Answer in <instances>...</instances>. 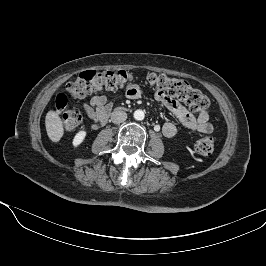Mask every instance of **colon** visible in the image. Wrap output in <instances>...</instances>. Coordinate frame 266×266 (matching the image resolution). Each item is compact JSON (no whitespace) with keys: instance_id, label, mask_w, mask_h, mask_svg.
<instances>
[{"instance_id":"colon-1","label":"colon","mask_w":266,"mask_h":266,"mask_svg":"<svg viewBox=\"0 0 266 266\" xmlns=\"http://www.w3.org/2000/svg\"><path fill=\"white\" fill-rule=\"evenodd\" d=\"M146 81L156 90L184 101L192 112L205 113L209 108V99L199 89L188 81L179 78H170L166 75L147 73ZM133 75L126 70H107L96 72L88 70L81 72L77 78L67 85V92L73 99H82L85 96L100 90H118L131 85ZM68 104V96L58 93L55 97V107L63 111ZM62 123L67 131H72L82 123L81 112L73 107L62 113ZM198 154L209 156L214 151V139L204 137L195 143Z\"/></svg>"}]
</instances>
